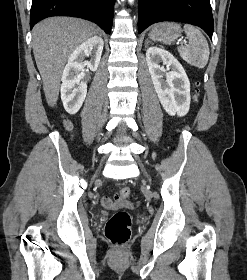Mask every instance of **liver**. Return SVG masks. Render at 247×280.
<instances>
[{
    "mask_svg": "<svg viewBox=\"0 0 247 280\" xmlns=\"http://www.w3.org/2000/svg\"><path fill=\"white\" fill-rule=\"evenodd\" d=\"M32 34L33 53L46 101L54 107L66 61L75 48L96 34V29L92 23L82 19L51 17L36 24Z\"/></svg>",
    "mask_w": 247,
    "mask_h": 280,
    "instance_id": "liver-1",
    "label": "liver"
}]
</instances>
